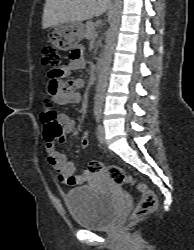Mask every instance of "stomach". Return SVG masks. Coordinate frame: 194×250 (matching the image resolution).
Returning a JSON list of instances; mask_svg holds the SVG:
<instances>
[{"mask_svg": "<svg viewBox=\"0 0 194 250\" xmlns=\"http://www.w3.org/2000/svg\"><path fill=\"white\" fill-rule=\"evenodd\" d=\"M84 37L81 22H65L52 26V44L59 50L68 51L76 47Z\"/></svg>", "mask_w": 194, "mask_h": 250, "instance_id": "obj_1", "label": "stomach"}]
</instances>
